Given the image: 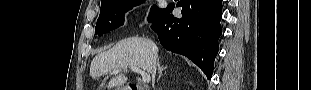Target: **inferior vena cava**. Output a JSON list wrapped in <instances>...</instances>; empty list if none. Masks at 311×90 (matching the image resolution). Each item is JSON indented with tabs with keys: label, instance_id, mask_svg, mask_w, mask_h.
Returning <instances> with one entry per match:
<instances>
[{
	"label": "inferior vena cava",
	"instance_id": "1",
	"mask_svg": "<svg viewBox=\"0 0 311 90\" xmlns=\"http://www.w3.org/2000/svg\"><path fill=\"white\" fill-rule=\"evenodd\" d=\"M156 71H154L153 77L155 76Z\"/></svg>",
	"mask_w": 311,
	"mask_h": 90
}]
</instances>
